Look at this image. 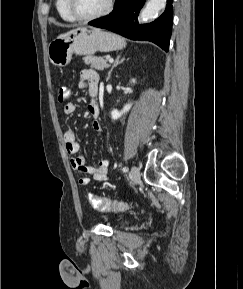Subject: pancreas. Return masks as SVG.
Instances as JSON below:
<instances>
[{"label": "pancreas", "mask_w": 243, "mask_h": 289, "mask_svg": "<svg viewBox=\"0 0 243 289\" xmlns=\"http://www.w3.org/2000/svg\"><path fill=\"white\" fill-rule=\"evenodd\" d=\"M85 64L90 65L91 68H94L99 71H103L105 68H108L110 66L109 63H107V59L104 57H97L93 55H87L83 58Z\"/></svg>", "instance_id": "obj_1"}]
</instances>
